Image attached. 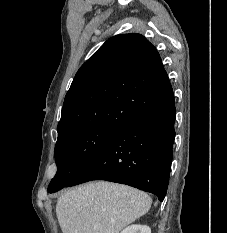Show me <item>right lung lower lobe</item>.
Segmentation results:
<instances>
[{"label": "right lung lower lobe", "mask_w": 227, "mask_h": 233, "mask_svg": "<svg viewBox=\"0 0 227 233\" xmlns=\"http://www.w3.org/2000/svg\"><path fill=\"white\" fill-rule=\"evenodd\" d=\"M175 116L172 95L118 129L65 187L107 180L153 193L163 201L173 157Z\"/></svg>", "instance_id": "1"}]
</instances>
